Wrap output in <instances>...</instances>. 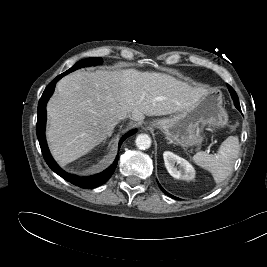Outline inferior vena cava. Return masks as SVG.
Segmentation results:
<instances>
[{
  "instance_id": "inferior-vena-cava-1",
  "label": "inferior vena cava",
  "mask_w": 267,
  "mask_h": 267,
  "mask_svg": "<svg viewBox=\"0 0 267 267\" xmlns=\"http://www.w3.org/2000/svg\"><path fill=\"white\" fill-rule=\"evenodd\" d=\"M127 116H124V115H121V116H119L118 118L121 120V119H124V118H126Z\"/></svg>"
}]
</instances>
